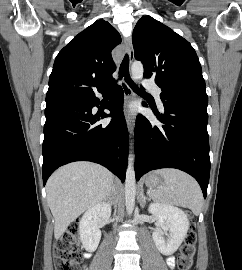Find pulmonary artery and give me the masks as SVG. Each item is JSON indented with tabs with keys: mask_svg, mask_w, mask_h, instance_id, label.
I'll return each instance as SVG.
<instances>
[{
	"mask_svg": "<svg viewBox=\"0 0 242 270\" xmlns=\"http://www.w3.org/2000/svg\"><path fill=\"white\" fill-rule=\"evenodd\" d=\"M144 87L146 89H148L149 91H151L155 95V97L157 98L159 106L162 108L163 104H162V101L160 99V94H161L160 87L158 85H156L153 81H150V80H146L144 82Z\"/></svg>",
	"mask_w": 242,
	"mask_h": 270,
	"instance_id": "obj_1",
	"label": "pulmonary artery"
}]
</instances>
